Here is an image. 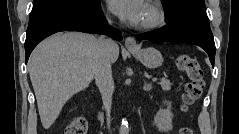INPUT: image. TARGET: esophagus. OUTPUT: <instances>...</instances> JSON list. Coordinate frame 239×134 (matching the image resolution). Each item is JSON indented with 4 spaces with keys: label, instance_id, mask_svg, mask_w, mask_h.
<instances>
[{
    "label": "esophagus",
    "instance_id": "34e87169",
    "mask_svg": "<svg viewBox=\"0 0 239 134\" xmlns=\"http://www.w3.org/2000/svg\"><path fill=\"white\" fill-rule=\"evenodd\" d=\"M125 46L128 49L137 48L136 40L134 39V37L132 36L127 37L125 40Z\"/></svg>",
    "mask_w": 239,
    "mask_h": 134
}]
</instances>
